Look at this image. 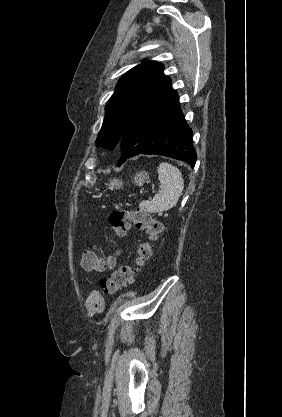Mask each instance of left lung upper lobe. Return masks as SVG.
Instances as JSON below:
<instances>
[{
    "mask_svg": "<svg viewBox=\"0 0 282 417\" xmlns=\"http://www.w3.org/2000/svg\"><path fill=\"white\" fill-rule=\"evenodd\" d=\"M164 66L153 61L139 64L119 80L116 91L105 107V119L96 145L114 149L120 142L132 112L161 84Z\"/></svg>",
    "mask_w": 282,
    "mask_h": 417,
    "instance_id": "left-lung-upper-lobe-1",
    "label": "left lung upper lobe"
}]
</instances>
